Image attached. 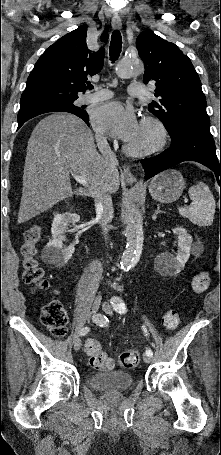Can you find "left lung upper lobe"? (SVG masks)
I'll return each instance as SVG.
<instances>
[{
  "label": "left lung upper lobe",
  "instance_id": "left-lung-upper-lobe-1",
  "mask_svg": "<svg viewBox=\"0 0 221 455\" xmlns=\"http://www.w3.org/2000/svg\"><path fill=\"white\" fill-rule=\"evenodd\" d=\"M136 47L145 65L144 83L156 85L158 100L148 110L163 122L171 139L188 129L210 132L205 95L190 59L151 31L139 34Z\"/></svg>",
  "mask_w": 221,
  "mask_h": 455
}]
</instances>
